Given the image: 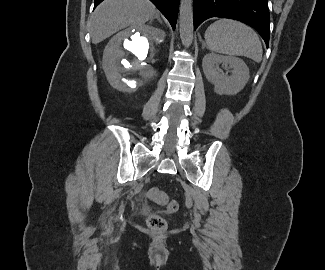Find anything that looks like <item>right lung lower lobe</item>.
<instances>
[{
  "instance_id": "98d812e1",
  "label": "right lung lower lobe",
  "mask_w": 325,
  "mask_h": 270,
  "mask_svg": "<svg viewBox=\"0 0 325 270\" xmlns=\"http://www.w3.org/2000/svg\"><path fill=\"white\" fill-rule=\"evenodd\" d=\"M103 0H95V7L101 3ZM168 19L173 29H175L178 9H179V0H150Z\"/></svg>"
}]
</instances>
